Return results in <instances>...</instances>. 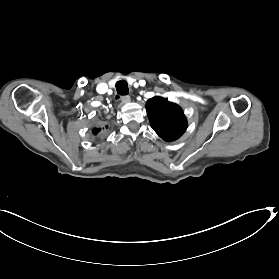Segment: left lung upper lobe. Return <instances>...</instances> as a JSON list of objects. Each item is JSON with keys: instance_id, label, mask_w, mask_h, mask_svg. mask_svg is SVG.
Instances as JSON below:
<instances>
[{"instance_id": "5c2ea615", "label": "left lung upper lobe", "mask_w": 279, "mask_h": 279, "mask_svg": "<svg viewBox=\"0 0 279 279\" xmlns=\"http://www.w3.org/2000/svg\"><path fill=\"white\" fill-rule=\"evenodd\" d=\"M146 110L151 127L163 140L174 141L185 132L187 121L178 105L154 97L147 101Z\"/></svg>"}]
</instances>
